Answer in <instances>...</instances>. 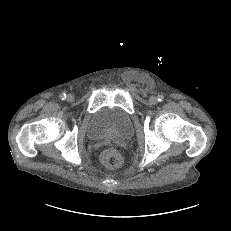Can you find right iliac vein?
I'll return each mask as SVG.
<instances>
[{"label": "right iliac vein", "instance_id": "63e3f726", "mask_svg": "<svg viewBox=\"0 0 231 231\" xmlns=\"http://www.w3.org/2000/svg\"><path fill=\"white\" fill-rule=\"evenodd\" d=\"M73 95L69 94L67 95V101L72 102L73 101Z\"/></svg>", "mask_w": 231, "mask_h": 231}]
</instances>
